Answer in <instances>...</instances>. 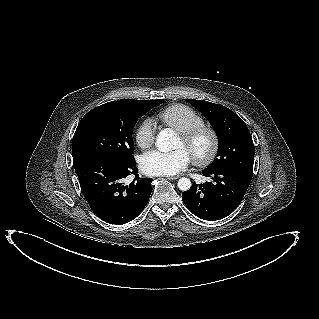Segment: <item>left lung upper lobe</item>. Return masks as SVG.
Masks as SVG:
<instances>
[{
  "label": "left lung upper lobe",
  "instance_id": "left-lung-upper-lobe-1",
  "mask_svg": "<svg viewBox=\"0 0 319 319\" xmlns=\"http://www.w3.org/2000/svg\"><path fill=\"white\" fill-rule=\"evenodd\" d=\"M211 123L219 139L217 158L206 169H236L253 175L255 148L245 122L225 106L186 99Z\"/></svg>",
  "mask_w": 319,
  "mask_h": 319
}]
</instances>
